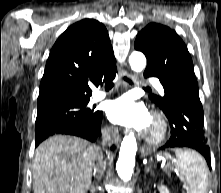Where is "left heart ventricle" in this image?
I'll return each instance as SVG.
<instances>
[{"mask_svg":"<svg viewBox=\"0 0 221 193\" xmlns=\"http://www.w3.org/2000/svg\"><path fill=\"white\" fill-rule=\"evenodd\" d=\"M143 130L148 134H156L158 131V124L153 118L150 117L148 123L146 124Z\"/></svg>","mask_w":221,"mask_h":193,"instance_id":"left-heart-ventricle-1","label":"left heart ventricle"}]
</instances>
